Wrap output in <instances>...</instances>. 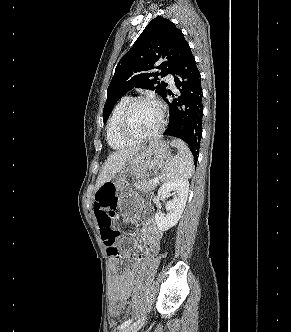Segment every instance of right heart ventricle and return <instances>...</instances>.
I'll return each instance as SVG.
<instances>
[{
  "mask_svg": "<svg viewBox=\"0 0 291 332\" xmlns=\"http://www.w3.org/2000/svg\"><path fill=\"white\" fill-rule=\"evenodd\" d=\"M130 100H131V97H129V96L122 97L116 103V105L112 111V114L110 116V119L107 123L106 138H107L108 144L113 149H117V150L124 149V148L132 146L134 144V142H131V141L125 139L119 131V121H120L121 114Z\"/></svg>",
  "mask_w": 291,
  "mask_h": 332,
  "instance_id": "1",
  "label": "right heart ventricle"
}]
</instances>
